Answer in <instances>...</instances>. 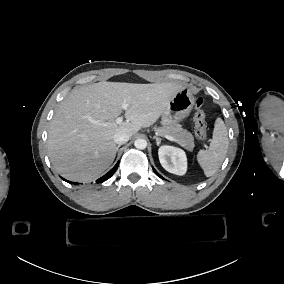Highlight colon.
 Here are the masks:
<instances>
[{
	"mask_svg": "<svg viewBox=\"0 0 284 284\" xmlns=\"http://www.w3.org/2000/svg\"><path fill=\"white\" fill-rule=\"evenodd\" d=\"M203 100L201 98H196L194 100V124H195V133L196 136L200 140L206 139V130H207V122H206V114L202 109Z\"/></svg>",
	"mask_w": 284,
	"mask_h": 284,
	"instance_id": "1",
	"label": "colon"
}]
</instances>
